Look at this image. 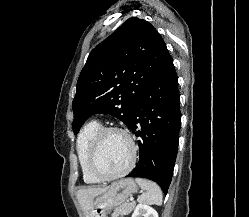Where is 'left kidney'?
<instances>
[{"instance_id": "5707ae66", "label": "left kidney", "mask_w": 249, "mask_h": 217, "mask_svg": "<svg viewBox=\"0 0 249 217\" xmlns=\"http://www.w3.org/2000/svg\"><path fill=\"white\" fill-rule=\"evenodd\" d=\"M132 217H158L157 211L149 205L138 204Z\"/></svg>"}]
</instances>
